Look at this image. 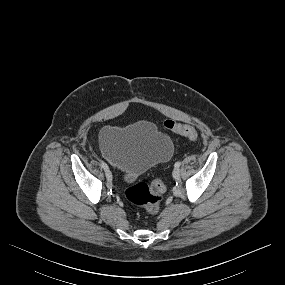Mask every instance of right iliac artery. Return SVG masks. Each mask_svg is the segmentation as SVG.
Wrapping results in <instances>:
<instances>
[{
    "label": "right iliac artery",
    "mask_w": 285,
    "mask_h": 285,
    "mask_svg": "<svg viewBox=\"0 0 285 285\" xmlns=\"http://www.w3.org/2000/svg\"><path fill=\"white\" fill-rule=\"evenodd\" d=\"M101 166L104 170L108 169V165L105 162H101Z\"/></svg>",
    "instance_id": "obj_1"
}]
</instances>
